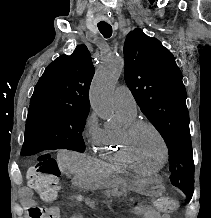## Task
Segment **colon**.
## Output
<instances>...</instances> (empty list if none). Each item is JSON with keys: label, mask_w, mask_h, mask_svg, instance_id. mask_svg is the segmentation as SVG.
Wrapping results in <instances>:
<instances>
[{"label": "colon", "mask_w": 211, "mask_h": 218, "mask_svg": "<svg viewBox=\"0 0 211 218\" xmlns=\"http://www.w3.org/2000/svg\"><path fill=\"white\" fill-rule=\"evenodd\" d=\"M60 170L56 161L49 154H42L27 172V182L44 201H55L59 198L61 186L59 185ZM153 206L160 212H171L176 202L171 198H158ZM45 212L40 207L29 209L30 218H45Z\"/></svg>", "instance_id": "colon-1"}]
</instances>
